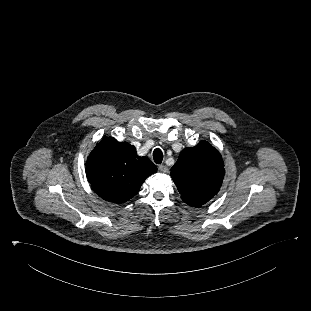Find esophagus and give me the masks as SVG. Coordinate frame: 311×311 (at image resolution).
<instances>
[{
  "label": "esophagus",
  "mask_w": 311,
  "mask_h": 311,
  "mask_svg": "<svg viewBox=\"0 0 311 311\" xmlns=\"http://www.w3.org/2000/svg\"><path fill=\"white\" fill-rule=\"evenodd\" d=\"M158 169H159V171L162 172V173H168V172H169L168 167L165 166V165H159V166H158Z\"/></svg>",
  "instance_id": "1"
}]
</instances>
